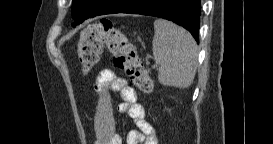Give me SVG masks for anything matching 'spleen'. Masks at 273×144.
I'll use <instances>...</instances> for the list:
<instances>
[{"mask_svg": "<svg viewBox=\"0 0 273 144\" xmlns=\"http://www.w3.org/2000/svg\"><path fill=\"white\" fill-rule=\"evenodd\" d=\"M152 42L154 60L160 65L158 81L165 86L188 88L196 73L197 46L192 35L178 25L154 21Z\"/></svg>", "mask_w": 273, "mask_h": 144, "instance_id": "obj_1", "label": "spleen"}]
</instances>
